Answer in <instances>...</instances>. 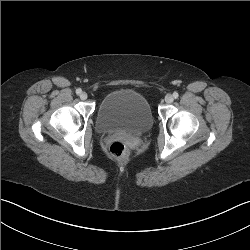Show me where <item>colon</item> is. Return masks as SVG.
I'll return each mask as SVG.
<instances>
[{"instance_id": "obj_1", "label": "colon", "mask_w": 250, "mask_h": 250, "mask_svg": "<svg viewBox=\"0 0 250 250\" xmlns=\"http://www.w3.org/2000/svg\"><path fill=\"white\" fill-rule=\"evenodd\" d=\"M129 147L123 141H114L109 147L110 155L116 160H126L129 157Z\"/></svg>"}]
</instances>
